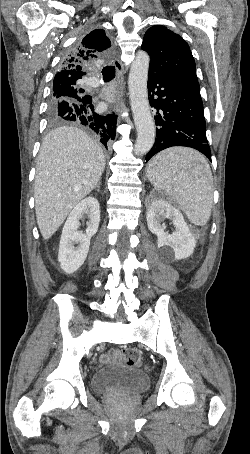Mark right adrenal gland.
Masks as SVG:
<instances>
[{
    "label": "right adrenal gland",
    "instance_id": "2a0ac1e0",
    "mask_svg": "<svg viewBox=\"0 0 250 454\" xmlns=\"http://www.w3.org/2000/svg\"><path fill=\"white\" fill-rule=\"evenodd\" d=\"M96 190L100 191V182L96 185Z\"/></svg>",
    "mask_w": 250,
    "mask_h": 454
}]
</instances>
